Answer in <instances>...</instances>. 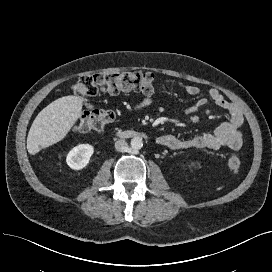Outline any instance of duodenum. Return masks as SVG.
<instances>
[{
	"instance_id": "obj_1",
	"label": "duodenum",
	"mask_w": 272,
	"mask_h": 272,
	"mask_svg": "<svg viewBox=\"0 0 272 272\" xmlns=\"http://www.w3.org/2000/svg\"><path fill=\"white\" fill-rule=\"evenodd\" d=\"M118 135L124 138H135L139 136V133L133 130H121Z\"/></svg>"
}]
</instances>
